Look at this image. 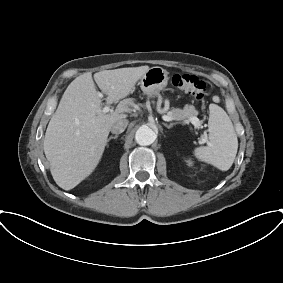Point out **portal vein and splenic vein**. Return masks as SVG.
<instances>
[{
    "label": "portal vein and splenic vein",
    "instance_id": "portal-vein-and-splenic-vein-1",
    "mask_svg": "<svg viewBox=\"0 0 283 283\" xmlns=\"http://www.w3.org/2000/svg\"><path fill=\"white\" fill-rule=\"evenodd\" d=\"M98 95H99L100 98H103V94L102 93L99 92ZM109 111H110V107L109 106H105L103 108V112L107 113ZM162 118H163L164 121H172V120H174L171 116H168V115H163ZM188 121L191 122L195 127L199 128L200 121H199V119L197 117H191ZM204 141H206V140H204Z\"/></svg>",
    "mask_w": 283,
    "mask_h": 283
}]
</instances>
